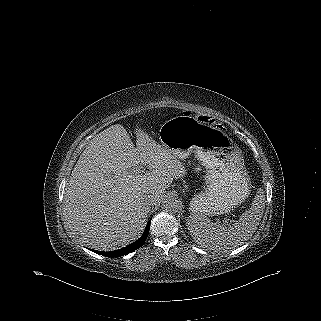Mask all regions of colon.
Listing matches in <instances>:
<instances>
[{
  "label": "colon",
  "instance_id": "obj_1",
  "mask_svg": "<svg viewBox=\"0 0 321 321\" xmlns=\"http://www.w3.org/2000/svg\"><path fill=\"white\" fill-rule=\"evenodd\" d=\"M199 120H200L201 122L208 123V124H214V123H215L214 119H212V118L209 117V116H200V117H199Z\"/></svg>",
  "mask_w": 321,
  "mask_h": 321
}]
</instances>
